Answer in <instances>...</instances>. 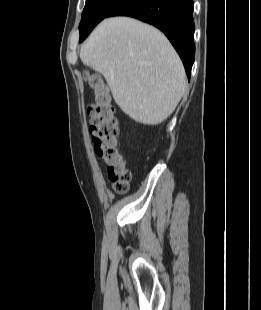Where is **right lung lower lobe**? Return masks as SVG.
Returning a JSON list of instances; mask_svg holds the SVG:
<instances>
[{"label": "right lung lower lobe", "instance_id": "obj_1", "mask_svg": "<svg viewBox=\"0 0 261 310\" xmlns=\"http://www.w3.org/2000/svg\"><path fill=\"white\" fill-rule=\"evenodd\" d=\"M111 16H131L159 28L178 52L190 79L195 59L193 0H124L107 17Z\"/></svg>", "mask_w": 261, "mask_h": 310}]
</instances>
